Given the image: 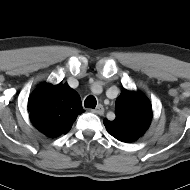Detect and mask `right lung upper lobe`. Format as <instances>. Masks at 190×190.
Returning <instances> with one entry per match:
<instances>
[{"label":"right lung upper lobe","mask_w":190,"mask_h":190,"mask_svg":"<svg viewBox=\"0 0 190 190\" xmlns=\"http://www.w3.org/2000/svg\"><path fill=\"white\" fill-rule=\"evenodd\" d=\"M28 112L33 125L48 137L66 134L84 112L78 93L67 83H43L30 95Z\"/></svg>","instance_id":"1"}]
</instances>
